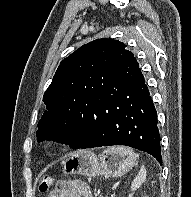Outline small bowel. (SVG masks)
<instances>
[{"label":"small bowel","mask_w":191,"mask_h":197,"mask_svg":"<svg viewBox=\"0 0 191 197\" xmlns=\"http://www.w3.org/2000/svg\"><path fill=\"white\" fill-rule=\"evenodd\" d=\"M49 197H92L89 189L82 184L66 183L53 191Z\"/></svg>","instance_id":"1"}]
</instances>
